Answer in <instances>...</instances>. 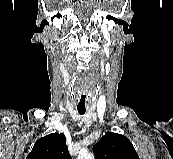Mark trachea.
Wrapping results in <instances>:
<instances>
[{
  "instance_id": "obj_1",
  "label": "trachea",
  "mask_w": 173,
  "mask_h": 159,
  "mask_svg": "<svg viewBox=\"0 0 173 159\" xmlns=\"http://www.w3.org/2000/svg\"><path fill=\"white\" fill-rule=\"evenodd\" d=\"M80 115H83L85 113V109L78 108L77 109Z\"/></svg>"
}]
</instances>
